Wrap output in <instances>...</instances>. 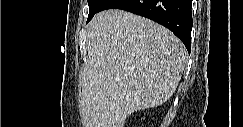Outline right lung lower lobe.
Wrapping results in <instances>:
<instances>
[{"label": "right lung lower lobe", "mask_w": 243, "mask_h": 127, "mask_svg": "<svg viewBox=\"0 0 243 127\" xmlns=\"http://www.w3.org/2000/svg\"><path fill=\"white\" fill-rule=\"evenodd\" d=\"M122 9L149 18L171 30L191 51V0H106L98 12Z\"/></svg>", "instance_id": "98d812e1"}]
</instances>
